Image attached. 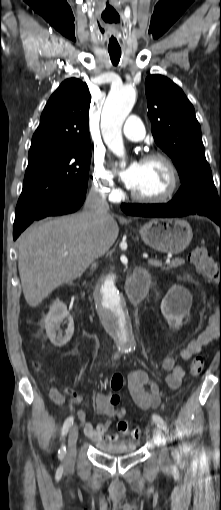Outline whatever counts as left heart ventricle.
Here are the masks:
<instances>
[{"instance_id": "1", "label": "left heart ventricle", "mask_w": 221, "mask_h": 510, "mask_svg": "<svg viewBox=\"0 0 221 510\" xmlns=\"http://www.w3.org/2000/svg\"><path fill=\"white\" fill-rule=\"evenodd\" d=\"M168 185L169 173L161 161L141 162L139 178L132 191L143 196H157L164 193Z\"/></svg>"}]
</instances>
